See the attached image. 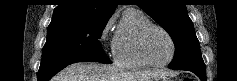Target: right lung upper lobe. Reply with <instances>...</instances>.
<instances>
[{"instance_id": "cb5924a9", "label": "right lung upper lobe", "mask_w": 237, "mask_h": 81, "mask_svg": "<svg viewBox=\"0 0 237 81\" xmlns=\"http://www.w3.org/2000/svg\"><path fill=\"white\" fill-rule=\"evenodd\" d=\"M118 0H60L52 19L61 17H86L101 20L109 19Z\"/></svg>"}]
</instances>
